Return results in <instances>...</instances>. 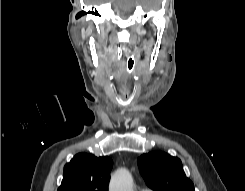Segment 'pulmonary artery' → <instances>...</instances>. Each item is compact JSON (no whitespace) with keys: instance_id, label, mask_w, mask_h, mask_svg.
<instances>
[{"instance_id":"pulmonary-artery-1","label":"pulmonary artery","mask_w":245,"mask_h":191,"mask_svg":"<svg viewBox=\"0 0 245 191\" xmlns=\"http://www.w3.org/2000/svg\"><path fill=\"white\" fill-rule=\"evenodd\" d=\"M142 191H151V190H150V189L145 188V189H142Z\"/></svg>"}]
</instances>
